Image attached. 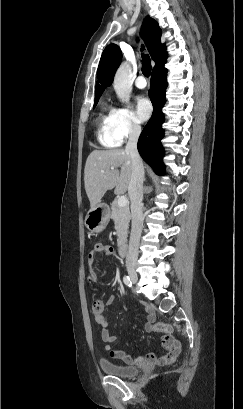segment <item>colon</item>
<instances>
[{
  "mask_svg": "<svg viewBox=\"0 0 243 409\" xmlns=\"http://www.w3.org/2000/svg\"><path fill=\"white\" fill-rule=\"evenodd\" d=\"M103 309V301L101 299H95L92 303V311L93 313H99ZM154 330L155 331H160V332H170L171 327L168 324L158 322L154 325Z\"/></svg>",
  "mask_w": 243,
  "mask_h": 409,
  "instance_id": "colon-1",
  "label": "colon"
}]
</instances>
